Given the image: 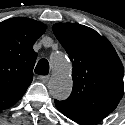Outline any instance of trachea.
<instances>
[{
    "label": "trachea",
    "instance_id": "1",
    "mask_svg": "<svg viewBox=\"0 0 125 125\" xmlns=\"http://www.w3.org/2000/svg\"><path fill=\"white\" fill-rule=\"evenodd\" d=\"M35 73L38 75H48L49 62L46 59H41L35 67Z\"/></svg>",
    "mask_w": 125,
    "mask_h": 125
}]
</instances>
